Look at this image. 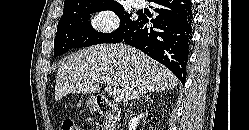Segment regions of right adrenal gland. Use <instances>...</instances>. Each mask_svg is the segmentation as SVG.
Here are the masks:
<instances>
[{
    "mask_svg": "<svg viewBox=\"0 0 249 130\" xmlns=\"http://www.w3.org/2000/svg\"><path fill=\"white\" fill-rule=\"evenodd\" d=\"M150 96H151V93H149V94L146 95V96H142V98H143L145 101H148V100L150 99ZM139 99H140V98H137V99L130 105V107H129L127 113L130 112V109H131L132 105L135 104Z\"/></svg>",
    "mask_w": 249,
    "mask_h": 130,
    "instance_id": "1",
    "label": "right adrenal gland"
}]
</instances>
